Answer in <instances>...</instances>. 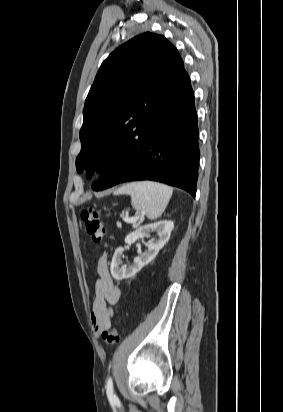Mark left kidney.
<instances>
[{
	"label": "left kidney",
	"instance_id": "left-kidney-1",
	"mask_svg": "<svg viewBox=\"0 0 283 412\" xmlns=\"http://www.w3.org/2000/svg\"><path fill=\"white\" fill-rule=\"evenodd\" d=\"M174 228V223L172 221H159L153 224L144 225L139 227L134 232L128 234L125 238L126 244H132L138 239H143L151 231H156L159 238L155 242H151L148 245V249L142 253L140 256L134 259V262L128 268L121 266V256L124 248L119 247L116 249L112 263L110 267L111 274L114 279L122 280L125 278L133 277L137 272H139L144 266L149 264L159 253V251L168 242L171 232Z\"/></svg>",
	"mask_w": 283,
	"mask_h": 412
}]
</instances>
